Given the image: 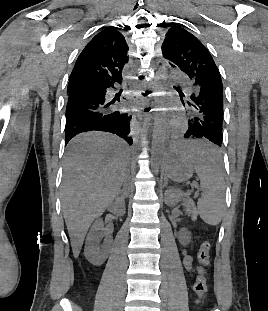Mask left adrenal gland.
<instances>
[{
  "instance_id": "left-adrenal-gland-1",
  "label": "left adrenal gland",
  "mask_w": 268,
  "mask_h": 311,
  "mask_svg": "<svg viewBox=\"0 0 268 311\" xmlns=\"http://www.w3.org/2000/svg\"><path fill=\"white\" fill-rule=\"evenodd\" d=\"M167 182H168V180H167V178L165 177V179H164V187H166L167 186Z\"/></svg>"
}]
</instances>
